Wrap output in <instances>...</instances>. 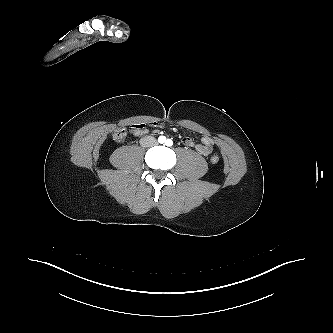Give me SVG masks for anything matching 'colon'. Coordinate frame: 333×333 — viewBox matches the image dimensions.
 Instances as JSON below:
<instances>
[{"label":"colon","instance_id":"colon-1","mask_svg":"<svg viewBox=\"0 0 333 333\" xmlns=\"http://www.w3.org/2000/svg\"><path fill=\"white\" fill-rule=\"evenodd\" d=\"M127 136V131L126 129L124 128H120V129H117L114 133H113V138L115 141H118V142H121L123 141ZM220 158L217 154H213L211 157H210V161L211 163L213 164H217L219 162Z\"/></svg>","mask_w":333,"mask_h":333}]
</instances>
